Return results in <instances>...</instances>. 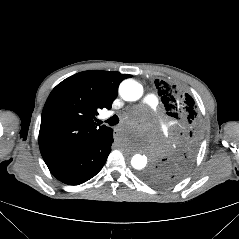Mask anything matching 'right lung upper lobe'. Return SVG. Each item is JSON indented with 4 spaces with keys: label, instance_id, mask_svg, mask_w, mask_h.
<instances>
[{
    "label": "right lung upper lobe",
    "instance_id": "obj_1",
    "mask_svg": "<svg viewBox=\"0 0 239 239\" xmlns=\"http://www.w3.org/2000/svg\"><path fill=\"white\" fill-rule=\"evenodd\" d=\"M131 77L119 72L84 71L52 90L39 131V148L46 164L81 149L109 128L95 126L93 117L98 109L111 108L119 84Z\"/></svg>",
    "mask_w": 239,
    "mask_h": 239
}]
</instances>
